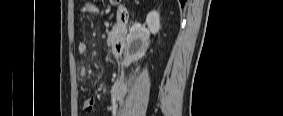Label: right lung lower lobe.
<instances>
[{
  "instance_id": "1",
  "label": "right lung lower lobe",
  "mask_w": 283,
  "mask_h": 116,
  "mask_svg": "<svg viewBox=\"0 0 283 116\" xmlns=\"http://www.w3.org/2000/svg\"><path fill=\"white\" fill-rule=\"evenodd\" d=\"M180 2H181V5L183 6L185 3V0H180Z\"/></svg>"
}]
</instances>
